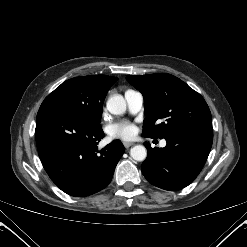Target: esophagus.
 <instances>
[{
  "mask_svg": "<svg viewBox=\"0 0 247 247\" xmlns=\"http://www.w3.org/2000/svg\"><path fill=\"white\" fill-rule=\"evenodd\" d=\"M123 144H124L125 148H129V147H131L133 145L132 142H127V141L123 142Z\"/></svg>",
  "mask_w": 247,
  "mask_h": 247,
  "instance_id": "1",
  "label": "esophagus"
}]
</instances>
